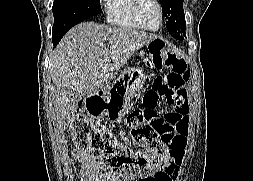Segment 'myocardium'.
<instances>
[{
    "mask_svg": "<svg viewBox=\"0 0 253 181\" xmlns=\"http://www.w3.org/2000/svg\"><path fill=\"white\" fill-rule=\"evenodd\" d=\"M142 2H143V0H133L132 16L134 18V21L142 30H145L148 32H157L158 30H160L162 28L163 23H164L163 5L160 0H153V2H155V4L157 5L159 13H160V23H159L158 27H156V28H148L143 24L141 17H140V7H141Z\"/></svg>",
    "mask_w": 253,
    "mask_h": 181,
    "instance_id": "obj_1",
    "label": "myocardium"
}]
</instances>
